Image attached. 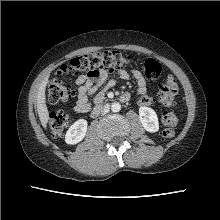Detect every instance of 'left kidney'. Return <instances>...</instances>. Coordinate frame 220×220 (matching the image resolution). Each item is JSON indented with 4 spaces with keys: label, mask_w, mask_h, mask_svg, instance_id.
Listing matches in <instances>:
<instances>
[{
    "label": "left kidney",
    "mask_w": 220,
    "mask_h": 220,
    "mask_svg": "<svg viewBox=\"0 0 220 220\" xmlns=\"http://www.w3.org/2000/svg\"><path fill=\"white\" fill-rule=\"evenodd\" d=\"M139 119L146 131L154 133L159 130L157 114L152 108L140 107Z\"/></svg>",
    "instance_id": "1"
}]
</instances>
